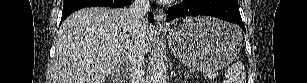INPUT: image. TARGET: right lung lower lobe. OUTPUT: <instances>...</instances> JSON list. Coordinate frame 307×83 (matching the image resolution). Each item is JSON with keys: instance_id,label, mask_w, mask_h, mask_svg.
Returning a JSON list of instances; mask_svg holds the SVG:
<instances>
[{"instance_id": "obj_1", "label": "right lung lower lobe", "mask_w": 307, "mask_h": 83, "mask_svg": "<svg viewBox=\"0 0 307 83\" xmlns=\"http://www.w3.org/2000/svg\"><path fill=\"white\" fill-rule=\"evenodd\" d=\"M131 0H65L61 22L71 13L85 7H111L120 8L126 6ZM150 22L154 21L153 14L148 15Z\"/></svg>"}]
</instances>
